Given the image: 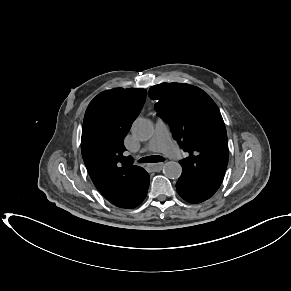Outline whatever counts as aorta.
Returning a JSON list of instances; mask_svg holds the SVG:
<instances>
[{
  "instance_id": "762f6f07",
  "label": "aorta",
  "mask_w": 291,
  "mask_h": 291,
  "mask_svg": "<svg viewBox=\"0 0 291 291\" xmlns=\"http://www.w3.org/2000/svg\"><path fill=\"white\" fill-rule=\"evenodd\" d=\"M133 136L140 141L149 140L154 133V127L150 120L137 118L132 125ZM163 173L169 179H178L182 173V167L178 162L169 161L165 163Z\"/></svg>"
}]
</instances>
